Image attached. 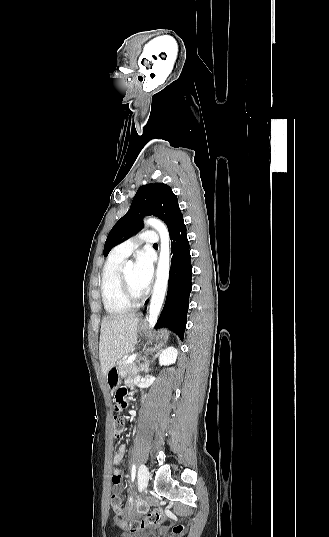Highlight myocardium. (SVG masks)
<instances>
[{
	"instance_id": "1",
	"label": "myocardium",
	"mask_w": 329,
	"mask_h": 537,
	"mask_svg": "<svg viewBox=\"0 0 329 537\" xmlns=\"http://www.w3.org/2000/svg\"><path fill=\"white\" fill-rule=\"evenodd\" d=\"M124 269L125 268H122L119 271V284H120L121 293L124 299L130 304L132 305L139 304L146 297V292L140 296H135L130 292L128 283L125 277Z\"/></svg>"
}]
</instances>
